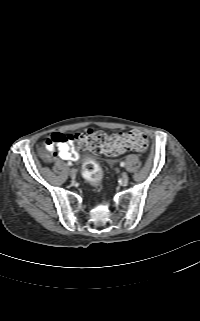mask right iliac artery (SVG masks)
I'll use <instances>...</instances> for the list:
<instances>
[{"label": "right iliac artery", "instance_id": "right-iliac-artery-1", "mask_svg": "<svg viewBox=\"0 0 200 321\" xmlns=\"http://www.w3.org/2000/svg\"><path fill=\"white\" fill-rule=\"evenodd\" d=\"M67 165H68V166H71V165H72V163H71L70 161H68Z\"/></svg>", "mask_w": 200, "mask_h": 321}]
</instances>
